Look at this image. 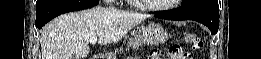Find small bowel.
<instances>
[{"mask_svg":"<svg viewBox=\"0 0 261 59\" xmlns=\"http://www.w3.org/2000/svg\"><path fill=\"white\" fill-rule=\"evenodd\" d=\"M159 50H155L151 53V55L149 56L150 59H158L157 56H155L156 53H158Z\"/></svg>","mask_w":261,"mask_h":59,"instance_id":"small-bowel-1","label":"small bowel"}]
</instances>
